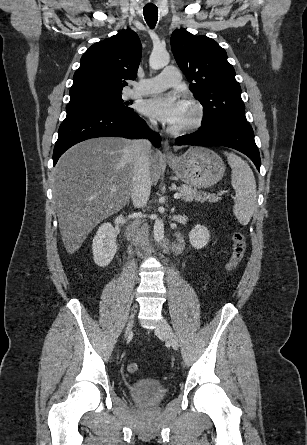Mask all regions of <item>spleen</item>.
I'll list each match as a JSON object with an SVG mask.
<instances>
[{"label":"spleen","instance_id":"3e777b00","mask_svg":"<svg viewBox=\"0 0 307 445\" xmlns=\"http://www.w3.org/2000/svg\"><path fill=\"white\" fill-rule=\"evenodd\" d=\"M232 170L231 184L235 190L233 212L240 225H248L256 208V180L252 168L234 152H224Z\"/></svg>","mask_w":307,"mask_h":445}]
</instances>
